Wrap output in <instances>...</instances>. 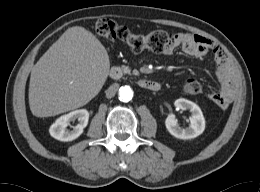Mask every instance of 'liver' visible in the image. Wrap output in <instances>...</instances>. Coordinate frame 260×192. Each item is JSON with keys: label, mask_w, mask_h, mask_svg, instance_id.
I'll use <instances>...</instances> for the list:
<instances>
[{"label": "liver", "mask_w": 260, "mask_h": 192, "mask_svg": "<svg viewBox=\"0 0 260 192\" xmlns=\"http://www.w3.org/2000/svg\"><path fill=\"white\" fill-rule=\"evenodd\" d=\"M109 70L108 53L92 32L81 26L67 29L31 71L32 114L50 117L86 105L102 89Z\"/></svg>", "instance_id": "obj_1"}]
</instances>
